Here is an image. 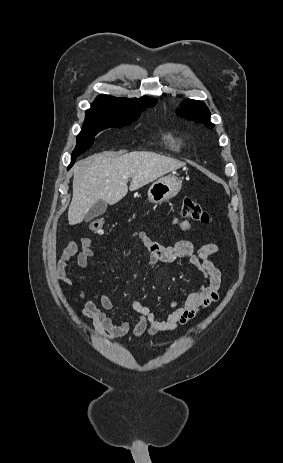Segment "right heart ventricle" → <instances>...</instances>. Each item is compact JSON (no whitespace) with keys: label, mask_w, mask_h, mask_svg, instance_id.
I'll use <instances>...</instances> for the list:
<instances>
[{"label":"right heart ventricle","mask_w":283,"mask_h":463,"mask_svg":"<svg viewBox=\"0 0 283 463\" xmlns=\"http://www.w3.org/2000/svg\"><path fill=\"white\" fill-rule=\"evenodd\" d=\"M168 146L173 149L174 151H179L182 145V140L174 135H168L166 137Z\"/></svg>","instance_id":"1"}]
</instances>
